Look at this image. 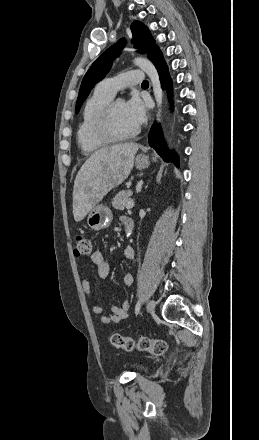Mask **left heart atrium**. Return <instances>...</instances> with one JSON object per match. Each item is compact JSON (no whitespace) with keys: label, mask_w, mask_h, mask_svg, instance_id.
<instances>
[{"label":"left heart atrium","mask_w":259,"mask_h":440,"mask_svg":"<svg viewBox=\"0 0 259 440\" xmlns=\"http://www.w3.org/2000/svg\"><path fill=\"white\" fill-rule=\"evenodd\" d=\"M125 111L131 122L136 126H141L147 117L146 104L137 96L133 95L125 103Z\"/></svg>","instance_id":"1"}]
</instances>
